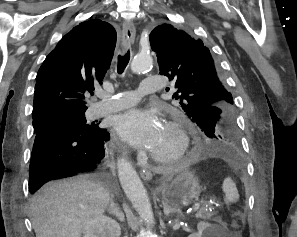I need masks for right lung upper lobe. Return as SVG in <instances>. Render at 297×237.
<instances>
[{
  "instance_id": "cb5924a9",
  "label": "right lung upper lobe",
  "mask_w": 297,
  "mask_h": 237,
  "mask_svg": "<svg viewBox=\"0 0 297 237\" xmlns=\"http://www.w3.org/2000/svg\"><path fill=\"white\" fill-rule=\"evenodd\" d=\"M116 31L89 20L74 27L46 57L36 76L33 120L61 111H86L85 96L101 83L111 63Z\"/></svg>"
}]
</instances>
